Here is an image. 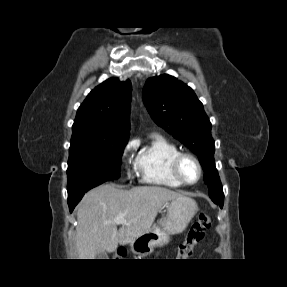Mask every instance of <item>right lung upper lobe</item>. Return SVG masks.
Instances as JSON below:
<instances>
[{
    "mask_svg": "<svg viewBox=\"0 0 287 287\" xmlns=\"http://www.w3.org/2000/svg\"><path fill=\"white\" fill-rule=\"evenodd\" d=\"M130 80L110 78L93 89L80 105L73 132L86 130L101 138L129 135Z\"/></svg>",
    "mask_w": 287,
    "mask_h": 287,
    "instance_id": "1",
    "label": "right lung upper lobe"
}]
</instances>
